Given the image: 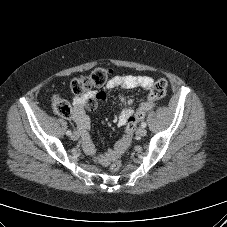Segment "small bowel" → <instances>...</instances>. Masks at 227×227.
<instances>
[{
    "label": "small bowel",
    "mask_w": 227,
    "mask_h": 227,
    "mask_svg": "<svg viewBox=\"0 0 227 227\" xmlns=\"http://www.w3.org/2000/svg\"><path fill=\"white\" fill-rule=\"evenodd\" d=\"M154 83V80L146 75H116L110 78L106 83L107 89L121 87L123 89L142 88L149 91ZM106 98L104 93L94 94L89 92L83 95H78L73 99V115L72 119L79 130L84 150L94 156L96 162L102 165H107L112 159L120 156L130 145L132 132L135 123L130 124L129 119L136 113L132 105L135 99L124 100L120 98V102L124 105L119 112L118 123L125 127V133L122 138L115 144L113 149L107 150L104 153L97 154L95 145L90 133V119L85 112L93 111L100 100ZM142 101V100H141Z\"/></svg>",
    "instance_id": "c3829d8e"
}]
</instances>
